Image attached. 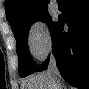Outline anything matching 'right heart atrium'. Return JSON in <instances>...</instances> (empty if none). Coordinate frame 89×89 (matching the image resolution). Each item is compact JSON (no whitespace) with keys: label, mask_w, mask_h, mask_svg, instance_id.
I'll return each instance as SVG.
<instances>
[{"label":"right heart atrium","mask_w":89,"mask_h":89,"mask_svg":"<svg viewBox=\"0 0 89 89\" xmlns=\"http://www.w3.org/2000/svg\"><path fill=\"white\" fill-rule=\"evenodd\" d=\"M28 46L32 55L45 59L52 50V38L48 26L41 20L34 22L28 32Z\"/></svg>","instance_id":"right-heart-atrium-1"}]
</instances>
